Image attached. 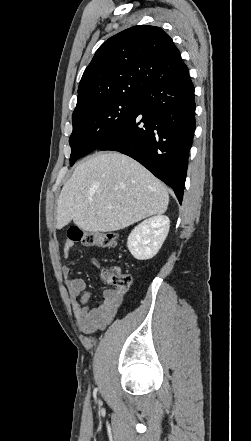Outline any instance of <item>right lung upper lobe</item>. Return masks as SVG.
<instances>
[{"label": "right lung upper lobe", "mask_w": 251, "mask_h": 441, "mask_svg": "<svg viewBox=\"0 0 251 441\" xmlns=\"http://www.w3.org/2000/svg\"><path fill=\"white\" fill-rule=\"evenodd\" d=\"M185 67L178 48L161 28L148 25L128 28L109 38L96 51L81 78L73 114L101 99L141 95Z\"/></svg>", "instance_id": "cb5924a9"}]
</instances>
